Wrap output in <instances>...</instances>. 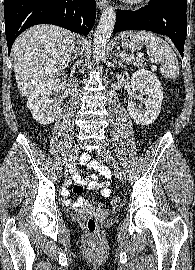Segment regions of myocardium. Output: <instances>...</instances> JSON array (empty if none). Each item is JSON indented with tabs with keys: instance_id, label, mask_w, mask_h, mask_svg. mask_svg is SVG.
<instances>
[{
	"instance_id": "myocardium-1",
	"label": "myocardium",
	"mask_w": 195,
	"mask_h": 270,
	"mask_svg": "<svg viewBox=\"0 0 195 270\" xmlns=\"http://www.w3.org/2000/svg\"><path fill=\"white\" fill-rule=\"evenodd\" d=\"M122 1L129 5H141L145 3L147 0H122Z\"/></svg>"
}]
</instances>
